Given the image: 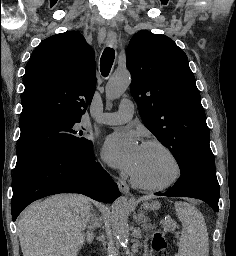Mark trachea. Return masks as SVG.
I'll return each mask as SVG.
<instances>
[{"label": "trachea", "instance_id": "obj_1", "mask_svg": "<svg viewBox=\"0 0 236 256\" xmlns=\"http://www.w3.org/2000/svg\"><path fill=\"white\" fill-rule=\"evenodd\" d=\"M114 58L115 51L113 50V48H105L100 60V71L104 77L108 76L113 65Z\"/></svg>", "mask_w": 236, "mask_h": 256}]
</instances>
